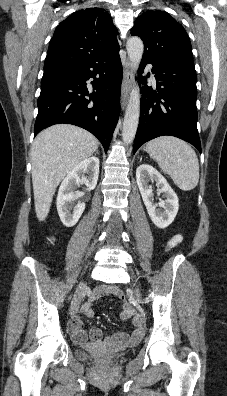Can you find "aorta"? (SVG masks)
<instances>
[{"label":"aorta","mask_w":227,"mask_h":396,"mask_svg":"<svg viewBox=\"0 0 227 396\" xmlns=\"http://www.w3.org/2000/svg\"><path fill=\"white\" fill-rule=\"evenodd\" d=\"M126 49L131 62V66L135 71H137L144 51V45L142 40L137 36L130 37L127 40ZM139 115L140 93L139 90L134 86L130 93L123 121L122 139L125 144L132 143L135 138L139 123Z\"/></svg>","instance_id":"aorta-1"}]
</instances>
